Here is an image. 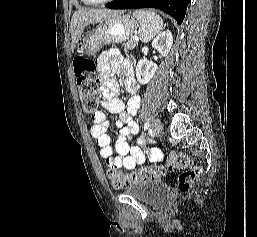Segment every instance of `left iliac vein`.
Here are the masks:
<instances>
[{
    "label": "left iliac vein",
    "instance_id": "1",
    "mask_svg": "<svg viewBox=\"0 0 257 237\" xmlns=\"http://www.w3.org/2000/svg\"><path fill=\"white\" fill-rule=\"evenodd\" d=\"M162 129H163V124L161 120L156 119L152 125L153 134L155 136H158L161 133Z\"/></svg>",
    "mask_w": 257,
    "mask_h": 237
}]
</instances>
